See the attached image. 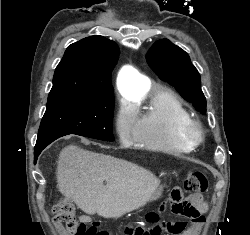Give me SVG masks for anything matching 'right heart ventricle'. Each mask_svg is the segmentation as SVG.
<instances>
[{
    "instance_id": "1",
    "label": "right heart ventricle",
    "mask_w": 250,
    "mask_h": 235,
    "mask_svg": "<svg viewBox=\"0 0 250 235\" xmlns=\"http://www.w3.org/2000/svg\"><path fill=\"white\" fill-rule=\"evenodd\" d=\"M135 143L149 151L183 155L193 150L180 136L181 126L191 119L182 101L169 90H159L144 111L138 113Z\"/></svg>"
}]
</instances>
